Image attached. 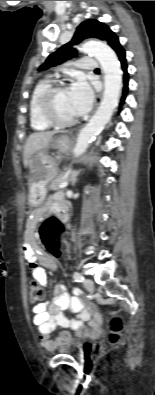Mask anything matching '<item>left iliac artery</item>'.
<instances>
[{
  "label": "left iliac artery",
  "mask_w": 155,
  "mask_h": 395,
  "mask_svg": "<svg viewBox=\"0 0 155 395\" xmlns=\"http://www.w3.org/2000/svg\"><path fill=\"white\" fill-rule=\"evenodd\" d=\"M73 278H74V280H75L76 282H83V281H84V277H83L82 274L79 273V272H75V273L73 274Z\"/></svg>",
  "instance_id": "obj_1"
}]
</instances>
